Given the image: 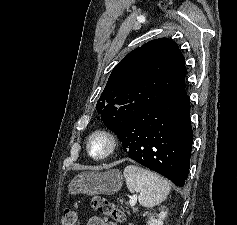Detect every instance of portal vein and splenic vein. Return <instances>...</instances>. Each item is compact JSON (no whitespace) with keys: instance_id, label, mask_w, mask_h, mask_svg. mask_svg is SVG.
Wrapping results in <instances>:
<instances>
[{"instance_id":"18ae733b","label":"portal vein and splenic vein","mask_w":237,"mask_h":225,"mask_svg":"<svg viewBox=\"0 0 237 225\" xmlns=\"http://www.w3.org/2000/svg\"><path fill=\"white\" fill-rule=\"evenodd\" d=\"M136 200H137L136 197H132V198L130 199V205H131V206H134L135 203H136Z\"/></svg>"}]
</instances>
